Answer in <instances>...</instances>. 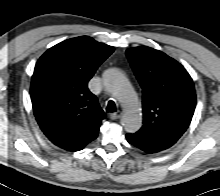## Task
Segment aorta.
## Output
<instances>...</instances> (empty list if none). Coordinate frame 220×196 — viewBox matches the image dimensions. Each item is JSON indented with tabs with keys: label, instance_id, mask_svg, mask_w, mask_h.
<instances>
[{
	"label": "aorta",
	"instance_id": "aorta-1",
	"mask_svg": "<svg viewBox=\"0 0 220 196\" xmlns=\"http://www.w3.org/2000/svg\"><path fill=\"white\" fill-rule=\"evenodd\" d=\"M106 87L118 98L124 108L122 126L127 132L137 131L142 124V113L137 96L128 79L117 70H110L104 75Z\"/></svg>",
	"mask_w": 220,
	"mask_h": 196
}]
</instances>
